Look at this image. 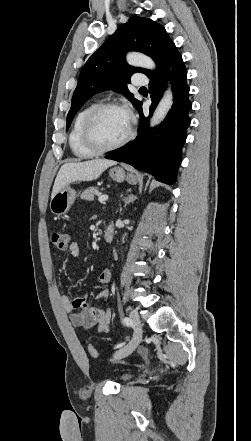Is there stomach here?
I'll return each instance as SVG.
<instances>
[{"instance_id": "1", "label": "stomach", "mask_w": 251, "mask_h": 441, "mask_svg": "<svg viewBox=\"0 0 251 441\" xmlns=\"http://www.w3.org/2000/svg\"><path fill=\"white\" fill-rule=\"evenodd\" d=\"M109 175L114 181L119 183L127 181L128 183L135 184L137 182V176L135 174H126L121 167H113L110 169ZM76 197V192L69 186H66L51 198V212L58 216L65 214L74 204Z\"/></svg>"}]
</instances>
